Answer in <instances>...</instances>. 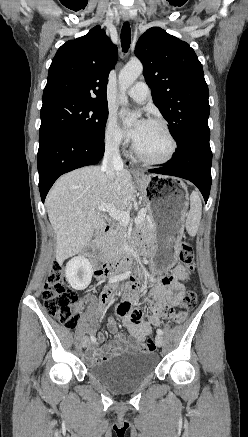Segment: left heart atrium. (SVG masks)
<instances>
[{
	"label": "left heart atrium",
	"instance_id": "39dd6f15",
	"mask_svg": "<svg viewBox=\"0 0 248 437\" xmlns=\"http://www.w3.org/2000/svg\"><path fill=\"white\" fill-rule=\"evenodd\" d=\"M122 117H126V112H123ZM149 121L146 119H141L133 128L126 131L127 136L132 139L134 142H137L139 138L141 137L142 133L144 132L146 126L148 125Z\"/></svg>",
	"mask_w": 248,
	"mask_h": 437
}]
</instances>
